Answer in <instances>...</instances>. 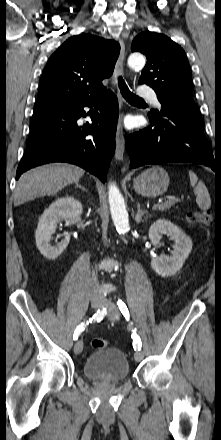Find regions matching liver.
Returning a JSON list of instances; mask_svg holds the SVG:
<instances>
[{
    "label": "liver",
    "mask_w": 221,
    "mask_h": 440,
    "mask_svg": "<svg viewBox=\"0 0 221 440\" xmlns=\"http://www.w3.org/2000/svg\"><path fill=\"white\" fill-rule=\"evenodd\" d=\"M84 170L70 164L44 165L24 173L14 191L15 206L42 196L57 194L66 185L76 183Z\"/></svg>",
    "instance_id": "1"
}]
</instances>
